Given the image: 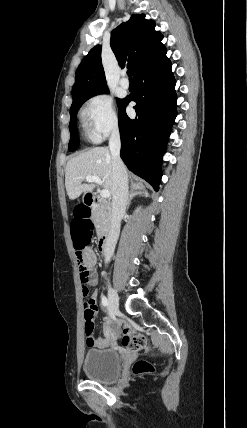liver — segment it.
Masks as SVG:
<instances>
[{
    "label": "liver",
    "instance_id": "6515ba94",
    "mask_svg": "<svg viewBox=\"0 0 247 428\" xmlns=\"http://www.w3.org/2000/svg\"><path fill=\"white\" fill-rule=\"evenodd\" d=\"M86 176H98L102 180L104 189L113 192L112 156L106 147H94L86 152L71 158L65 169V187L71 200L78 198L82 193H90L95 188V182L84 184ZM136 185L132 183V186ZM139 187L140 185H137Z\"/></svg>",
    "mask_w": 247,
    "mask_h": 428
}]
</instances>
